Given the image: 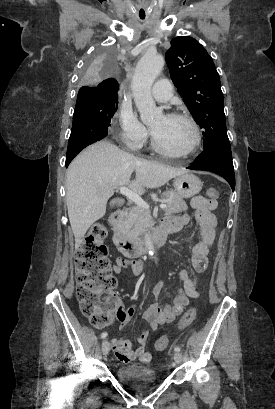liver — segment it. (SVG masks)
<instances>
[{"mask_svg": "<svg viewBox=\"0 0 275 409\" xmlns=\"http://www.w3.org/2000/svg\"><path fill=\"white\" fill-rule=\"evenodd\" d=\"M133 170L136 176L130 180ZM185 172H188L185 168H170L129 154L108 140H99L84 148L66 172L67 209L75 249L80 247L89 227L104 217L114 186H129L134 192L143 194V186L156 188Z\"/></svg>", "mask_w": 275, "mask_h": 409, "instance_id": "liver-1", "label": "liver"}]
</instances>
